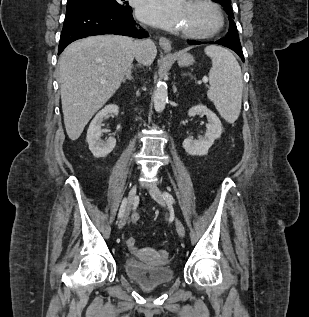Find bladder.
<instances>
[{"mask_svg":"<svg viewBox=\"0 0 309 317\" xmlns=\"http://www.w3.org/2000/svg\"><path fill=\"white\" fill-rule=\"evenodd\" d=\"M125 274L145 289H154L169 284L174 279V271L168 265H152L135 257L124 260Z\"/></svg>","mask_w":309,"mask_h":317,"instance_id":"bladder-1","label":"bladder"}]
</instances>
